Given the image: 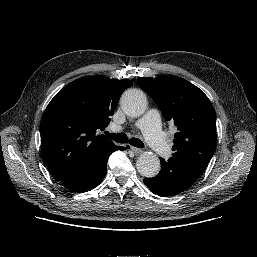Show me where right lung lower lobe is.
<instances>
[{"instance_id": "right-lung-lower-lobe-1", "label": "right lung lower lobe", "mask_w": 257, "mask_h": 257, "mask_svg": "<svg viewBox=\"0 0 257 257\" xmlns=\"http://www.w3.org/2000/svg\"><path fill=\"white\" fill-rule=\"evenodd\" d=\"M116 150H126L125 147L115 146L88 165L82 167L69 177L60 182L74 192H86L102 183L106 175L107 160L109 155Z\"/></svg>"}]
</instances>
